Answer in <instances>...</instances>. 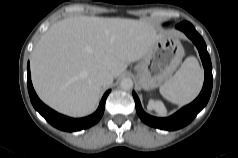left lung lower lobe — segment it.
<instances>
[{"label":"left lung lower lobe","mask_w":238,"mask_h":158,"mask_svg":"<svg viewBox=\"0 0 238 158\" xmlns=\"http://www.w3.org/2000/svg\"><path fill=\"white\" fill-rule=\"evenodd\" d=\"M176 28L183 31L193 41L199 50L205 70V81L199 96L191 104L183 107L172 116L168 118H157L150 116L143 111L138 96L135 92H133L136 111L141 120L152 127L164 130H177L189 124L206 106L211 95L213 84L211 60L203 38L197 33L194 26L187 21L179 23Z\"/></svg>","instance_id":"obj_1"}]
</instances>
